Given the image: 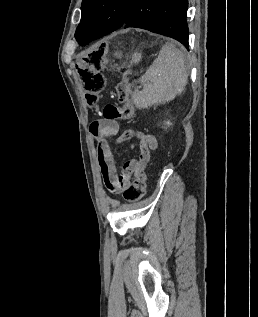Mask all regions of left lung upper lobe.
I'll return each instance as SVG.
<instances>
[{
	"label": "left lung upper lobe",
	"mask_w": 258,
	"mask_h": 317,
	"mask_svg": "<svg viewBox=\"0 0 258 317\" xmlns=\"http://www.w3.org/2000/svg\"><path fill=\"white\" fill-rule=\"evenodd\" d=\"M133 0H82L81 22L75 38L79 42L85 35L98 27L120 28Z\"/></svg>",
	"instance_id": "1"
}]
</instances>
